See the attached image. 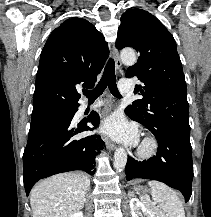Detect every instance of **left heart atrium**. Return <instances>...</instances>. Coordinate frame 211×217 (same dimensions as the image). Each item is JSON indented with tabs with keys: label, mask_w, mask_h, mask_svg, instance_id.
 I'll use <instances>...</instances> for the list:
<instances>
[{
	"label": "left heart atrium",
	"mask_w": 211,
	"mask_h": 217,
	"mask_svg": "<svg viewBox=\"0 0 211 217\" xmlns=\"http://www.w3.org/2000/svg\"><path fill=\"white\" fill-rule=\"evenodd\" d=\"M102 131L115 140L129 145L138 143L136 125L127 123L120 115H113L102 126Z\"/></svg>",
	"instance_id": "left-heart-atrium-1"
}]
</instances>
